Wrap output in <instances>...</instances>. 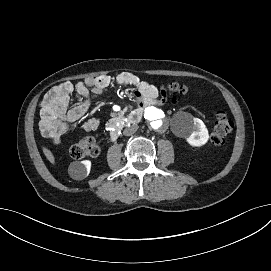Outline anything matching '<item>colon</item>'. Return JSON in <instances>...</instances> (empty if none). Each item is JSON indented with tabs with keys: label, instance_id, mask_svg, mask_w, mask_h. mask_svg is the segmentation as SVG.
I'll use <instances>...</instances> for the list:
<instances>
[{
	"label": "colon",
	"instance_id": "5ec220e1",
	"mask_svg": "<svg viewBox=\"0 0 271 271\" xmlns=\"http://www.w3.org/2000/svg\"><path fill=\"white\" fill-rule=\"evenodd\" d=\"M165 94L171 98L179 99L188 93L186 86L176 82H170L166 85ZM234 123L232 119L224 112L216 114L213 130L210 135V143L214 146L224 144L228 135L232 132ZM99 154V147L95 139L91 136H85L70 147V155L73 159H82L85 157H96Z\"/></svg>",
	"mask_w": 271,
	"mask_h": 271
}]
</instances>
